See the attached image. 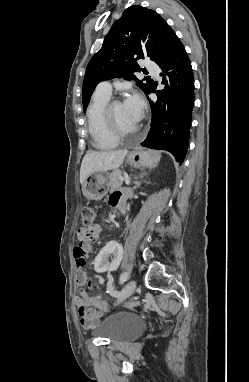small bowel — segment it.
<instances>
[{
	"mask_svg": "<svg viewBox=\"0 0 249 382\" xmlns=\"http://www.w3.org/2000/svg\"><path fill=\"white\" fill-rule=\"evenodd\" d=\"M126 201L125 194L122 191H115L109 197L110 207H117L122 202ZM99 234V228L93 226L90 228L81 227L77 232V241L75 242L76 248H88L90 243L94 241ZM95 268V267H94ZM77 282V281H76ZM108 288H112V282L101 280ZM86 282H77L78 285L83 286ZM79 305V315L81 317V325L84 329H94L100 320V314L106 310V306L98 299L91 297L88 294L77 298Z\"/></svg>",
	"mask_w": 249,
	"mask_h": 382,
	"instance_id": "small-bowel-1",
	"label": "small bowel"
}]
</instances>
